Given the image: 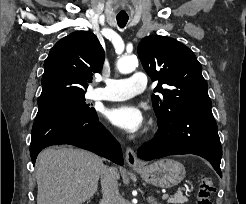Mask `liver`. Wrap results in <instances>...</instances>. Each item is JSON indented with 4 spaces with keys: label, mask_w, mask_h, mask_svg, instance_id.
Returning a JSON list of instances; mask_svg holds the SVG:
<instances>
[{
    "label": "liver",
    "mask_w": 246,
    "mask_h": 204,
    "mask_svg": "<svg viewBox=\"0 0 246 204\" xmlns=\"http://www.w3.org/2000/svg\"><path fill=\"white\" fill-rule=\"evenodd\" d=\"M102 158L71 147H50L38 156L37 204H82L96 193ZM116 178L119 172L116 170Z\"/></svg>",
    "instance_id": "obj_1"
}]
</instances>
